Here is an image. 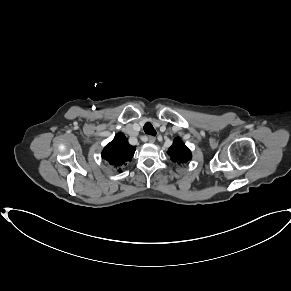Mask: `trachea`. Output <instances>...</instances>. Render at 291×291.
I'll use <instances>...</instances> for the list:
<instances>
[{"label": "trachea", "instance_id": "obj_1", "mask_svg": "<svg viewBox=\"0 0 291 291\" xmlns=\"http://www.w3.org/2000/svg\"><path fill=\"white\" fill-rule=\"evenodd\" d=\"M144 132L152 136L156 135V130L154 129L153 125L149 122L144 125Z\"/></svg>", "mask_w": 291, "mask_h": 291}]
</instances>
